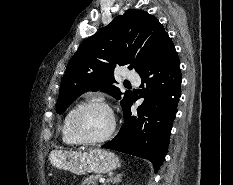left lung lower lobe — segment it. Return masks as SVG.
<instances>
[{
  "label": "left lung lower lobe",
  "mask_w": 233,
  "mask_h": 185,
  "mask_svg": "<svg viewBox=\"0 0 233 185\" xmlns=\"http://www.w3.org/2000/svg\"><path fill=\"white\" fill-rule=\"evenodd\" d=\"M139 75L145 100L138 114L131 113V101L119 133L102 147L147 159L157 172L166 155L181 96L179 59L169 36Z\"/></svg>",
  "instance_id": "1"
}]
</instances>
